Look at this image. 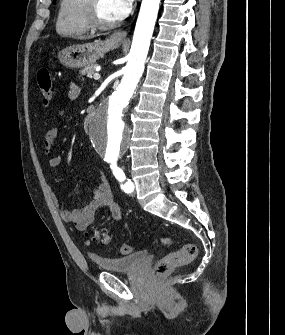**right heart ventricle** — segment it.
I'll list each match as a JSON object with an SVG mask.
<instances>
[{
  "mask_svg": "<svg viewBox=\"0 0 285 335\" xmlns=\"http://www.w3.org/2000/svg\"><path fill=\"white\" fill-rule=\"evenodd\" d=\"M88 11V1H61L56 22L58 35L68 39L81 38L90 29Z\"/></svg>",
  "mask_w": 285,
  "mask_h": 335,
  "instance_id": "e07e8e85",
  "label": "right heart ventricle"
}]
</instances>
